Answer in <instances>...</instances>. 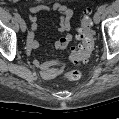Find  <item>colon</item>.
Returning a JSON list of instances; mask_svg holds the SVG:
<instances>
[{
    "label": "colon",
    "mask_w": 119,
    "mask_h": 119,
    "mask_svg": "<svg viewBox=\"0 0 119 119\" xmlns=\"http://www.w3.org/2000/svg\"><path fill=\"white\" fill-rule=\"evenodd\" d=\"M91 11L86 10L83 14L81 25L78 29L77 39L80 41L76 48H72L70 51L71 62L77 64L79 62L86 61L93 50L94 36L91 29ZM82 74L79 70H72L65 74V77L69 80L76 81L81 78Z\"/></svg>",
    "instance_id": "colon-1"
}]
</instances>
